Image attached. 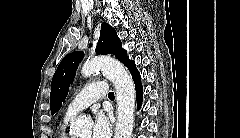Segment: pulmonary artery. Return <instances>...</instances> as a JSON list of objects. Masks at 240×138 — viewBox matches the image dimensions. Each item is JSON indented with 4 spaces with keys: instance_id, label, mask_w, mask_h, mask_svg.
I'll return each mask as SVG.
<instances>
[{
    "instance_id": "1",
    "label": "pulmonary artery",
    "mask_w": 240,
    "mask_h": 138,
    "mask_svg": "<svg viewBox=\"0 0 240 138\" xmlns=\"http://www.w3.org/2000/svg\"><path fill=\"white\" fill-rule=\"evenodd\" d=\"M108 93L107 83L104 81H94L80 91L70 102L66 116L73 117L83 111L93 103L97 102Z\"/></svg>"
}]
</instances>
